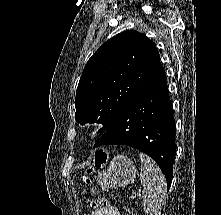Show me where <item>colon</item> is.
Listing matches in <instances>:
<instances>
[{
  "label": "colon",
  "mask_w": 221,
  "mask_h": 215,
  "mask_svg": "<svg viewBox=\"0 0 221 215\" xmlns=\"http://www.w3.org/2000/svg\"><path fill=\"white\" fill-rule=\"evenodd\" d=\"M108 155L106 151L104 150H96L94 153V167L100 168L104 166L107 162ZM93 168H90L87 170L84 180L87 184L91 185L92 183V174H93ZM92 193H95L94 188H91ZM107 203L103 198L97 197L94 199V201L91 203V207L93 209H100L106 207Z\"/></svg>",
  "instance_id": "colon-1"
}]
</instances>
